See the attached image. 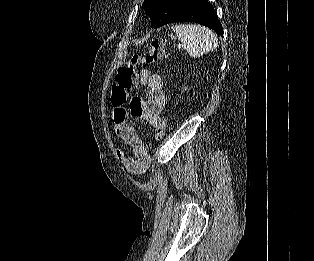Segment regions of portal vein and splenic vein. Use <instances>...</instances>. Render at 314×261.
I'll return each mask as SVG.
<instances>
[{
    "label": "portal vein and splenic vein",
    "mask_w": 314,
    "mask_h": 261,
    "mask_svg": "<svg viewBox=\"0 0 314 261\" xmlns=\"http://www.w3.org/2000/svg\"><path fill=\"white\" fill-rule=\"evenodd\" d=\"M178 46H179V47H183V45H181V44H179Z\"/></svg>",
    "instance_id": "obj_1"
}]
</instances>
